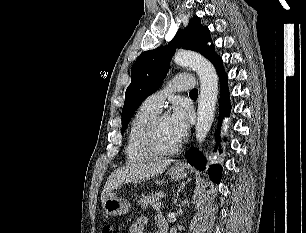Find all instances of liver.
Listing matches in <instances>:
<instances>
[{
    "label": "liver",
    "instance_id": "obj_1",
    "mask_svg": "<svg viewBox=\"0 0 306 233\" xmlns=\"http://www.w3.org/2000/svg\"><path fill=\"white\" fill-rule=\"evenodd\" d=\"M171 160L130 164L111 173L101 194L103 204L106 197L123 184L149 179L165 171Z\"/></svg>",
    "mask_w": 306,
    "mask_h": 233
}]
</instances>
